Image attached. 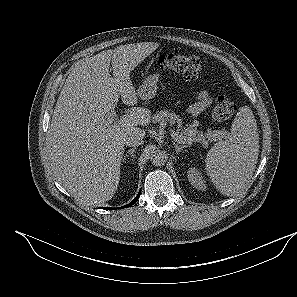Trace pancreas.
I'll return each instance as SVG.
<instances>
[{
  "instance_id": "pancreas-1",
  "label": "pancreas",
  "mask_w": 297,
  "mask_h": 297,
  "mask_svg": "<svg viewBox=\"0 0 297 297\" xmlns=\"http://www.w3.org/2000/svg\"><path fill=\"white\" fill-rule=\"evenodd\" d=\"M154 122H169L170 124L181 123V119L179 115H176L174 112H170L168 110H162L157 112L154 117ZM178 135L185 138L182 143L191 144L192 142H200L203 145H207L212 137L213 132L208 130L207 132L203 133L202 131H198L195 124H189L187 127L182 130Z\"/></svg>"
}]
</instances>
